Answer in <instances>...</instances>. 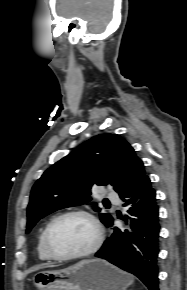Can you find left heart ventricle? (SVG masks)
I'll return each instance as SVG.
<instances>
[{
  "mask_svg": "<svg viewBox=\"0 0 187 290\" xmlns=\"http://www.w3.org/2000/svg\"><path fill=\"white\" fill-rule=\"evenodd\" d=\"M95 233L90 222L82 216H69L55 224L51 244L59 254H74L87 250L94 242Z\"/></svg>",
  "mask_w": 187,
  "mask_h": 290,
  "instance_id": "1",
  "label": "left heart ventricle"
}]
</instances>
